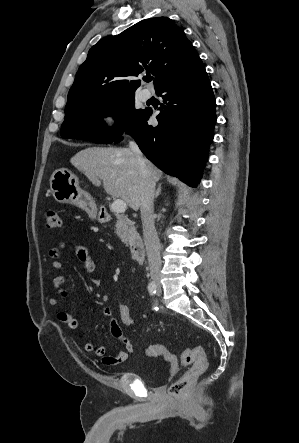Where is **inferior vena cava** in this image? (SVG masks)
Here are the masks:
<instances>
[{"label":"inferior vena cava","instance_id":"obj_1","mask_svg":"<svg viewBox=\"0 0 299 443\" xmlns=\"http://www.w3.org/2000/svg\"><path fill=\"white\" fill-rule=\"evenodd\" d=\"M134 153L140 176V210L143 225V236L151 275L157 276L161 270L160 243L154 226L153 201L155 196V181L151 177L146 160L143 158L138 145L129 143Z\"/></svg>","mask_w":299,"mask_h":443}]
</instances>
